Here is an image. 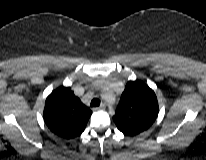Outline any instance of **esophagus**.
Returning <instances> with one entry per match:
<instances>
[{
  "instance_id": "obj_1",
  "label": "esophagus",
  "mask_w": 206,
  "mask_h": 160,
  "mask_svg": "<svg viewBox=\"0 0 206 160\" xmlns=\"http://www.w3.org/2000/svg\"><path fill=\"white\" fill-rule=\"evenodd\" d=\"M106 108L105 103H101V105L97 108H94L95 110H104Z\"/></svg>"
}]
</instances>
